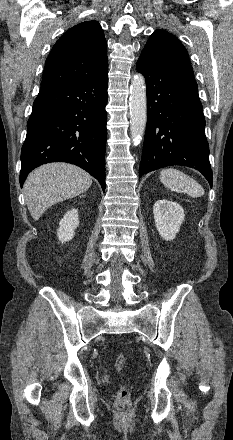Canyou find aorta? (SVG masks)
<instances>
[{
    "mask_svg": "<svg viewBox=\"0 0 233 440\" xmlns=\"http://www.w3.org/2000/svg\"><path fill=\"white\" fill-rule=\"evenodd\" d=\"M130 133L134 144L140 143L147 122L146 84L142 74H136L130 85Z\"/></svg>",
    "mask_w": 233,
    "mask_h": 440,
    "instance_id": "762f6f07",
    "label": "aorta"
}]
</instances>
